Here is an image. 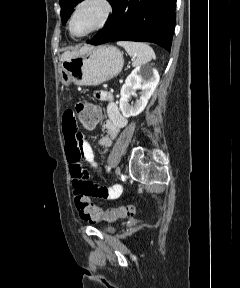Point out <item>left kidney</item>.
<instances>
[{
	"label": "left kidney",
	"instance_id": "obj_1",
	"mask_svg": "<svg viewBox=\"0 0 240 288\" xmlns=\"http://www.w3.org/2000/svg\"><path fill=\"white\" fill-rule=\"evenodd\" d=\"M159 80V73L154 68L138 66L131 72L120 92V110L124 117L137 116L145 109ZM136 90H141L140 98L134 105H130L128 102L131 96H135Z\"/></svg>",
	"mask_w": 240,
	"mask_h": 288
}]
</instances>
